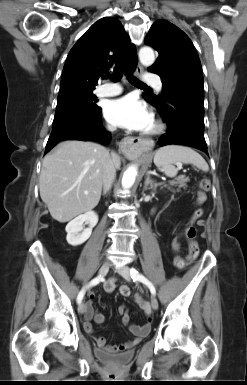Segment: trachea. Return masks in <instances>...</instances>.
Instances as JSON below:
<instances>
[{
	"mask_svg": "<svg viewBox=\"0 0 247 385\" xmlns=\"http://www.w3.org/2000/svg\"><path fill=\"white\" fill-rule=\"evenodd\" d=\"M106 78H110L114 82H119L122 78V72L121 71L115 72L112 75L107 76ZM127 79L134 86L149 87L143 82H141L139 79H137L135 76H133L132 74H127Z\"/></svg>",
	"mask_w": 247,
	"mask_h": 385,
	"instance_id": "3493384b",
	"label": "trachea"
}]
</instances>
